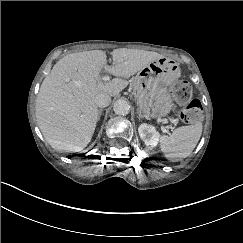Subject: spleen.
I'll return each instance as SVG.
<instances>
[{
	"label": "spleen",
	"mask_w": 243,
	"mask_h": 243,
	"mask_svg": "<svg viewBox=\"0 0 243 243\" xmlns=\"http://www.w3.org/2000/svg\"><path fill=\"white\" fill-rule=\"evenodd\" d=\"M202 123L181 126L171 136L162 135L159 140L161 151L169 158L187 157L196 147L201 134Z\"/></svg>",
	"instance_id": "spleen-1"
}]
</instances>
